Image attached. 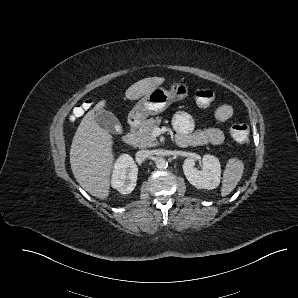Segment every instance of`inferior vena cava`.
Instances as JSON below:
<instances>
[{"mask_svg":"<svg viewBox=\"0 0 298 298\" xmlns=\"http://www.w3.org/2000/svg\"><path fill=\"white\" fill-rule=\"evenodd\" d=\"M152 154L151 150H139L136 153V159L140 161L147 160L152 156Z\"/></svg>","mask_w":298,"mask_h":298,"instance_id":"obj_1","label":"inferior vena cava"}]
</instances>
